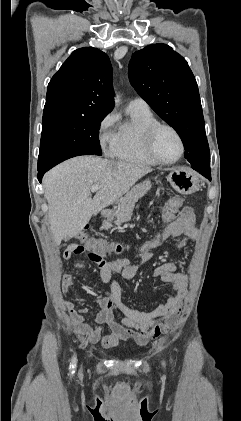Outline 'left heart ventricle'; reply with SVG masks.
<instances>
[{"label": "left heart ventricle", "mask_w": 241, "mask_h": 421, "mask_svg": "<svg viewBox=\"0 0 241 421\" xmlns=\"http://www.w3.org/2000/svg\"><path fill=\"white\" fill-rule=\"evenodd\" d=\"M154 146L158 156L166 161L175 159L181 149L177 137L168 129H161L157 133Z\"/></svg>", "instance_id": "obj_1"}]
</instances>
